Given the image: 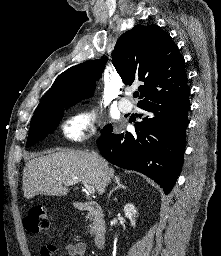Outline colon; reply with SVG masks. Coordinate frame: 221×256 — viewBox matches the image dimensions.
<instances>
[{"label": "colon", "instance_id": "5ec220e1", "mask_svg": "<svg viewBox=\"0 0 221 256\" xmlns=\"http://www.w3.org/2000/svg\"><path fill=\"white\" fill-rule=\"evenodd\" d=\"M24 226L28 232H47L51 227V219L44 206L35 205L24 219Z\"/></svg>", "mask_w": 221, "mask_h": 256}]
</instances>
